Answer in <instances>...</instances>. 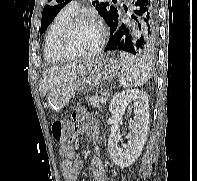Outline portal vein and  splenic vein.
<instances>
[{
    "mask_svg": "<svg viewBox=\"0 0 197 181\" xmlns=\"http://www.w3.org/2000/svg\"><path fill=\"white\" fill-rule=\"evenodd\" d=\"M106 101H107L106 97H101V103H102V104H105Z\"/></svg>",
    "mask_w": 197,
    "mask_h": 181,
    "instance_id": "obj_1",
    "label": "portal vein and splenic vein"
}]
</instances>
